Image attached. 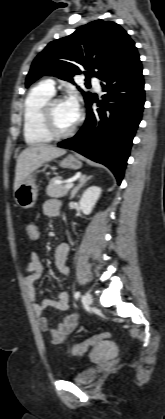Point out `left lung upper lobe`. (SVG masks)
Wrapping results in <instances>:
<instances>
[{"instance_id": "obj_1", "label": "left lung upper lobe", "mask_w": 165, "mask_h": 419, "mask_svg": "<svg viewBox=\"0 0 165 419\" xmlns=\"http://www.w3.org/2000/svg\"><path fill=\"white\" fill-rule=\"evenodd\" d=\"M126 31L112 21L96 20L81 26L71 35L50 42L34 59L27 75L26 87L44 75L73 82L75 74L88 70L102 79L117 67L135 48ZM85 102L92 99L82 92Z\"/></svg>"}]
</instances>
